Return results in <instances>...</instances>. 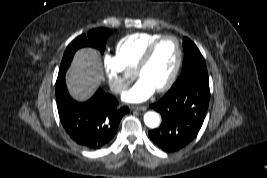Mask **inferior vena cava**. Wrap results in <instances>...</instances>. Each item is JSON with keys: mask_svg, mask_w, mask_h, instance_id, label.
I'll use <instances>...</instances> for the list:
<instances>
[{"mask_svg": "<svg viewBox=\"0 0 267 178\" xmlns=\"http://www.w3.org/2000/svg\"><path fill=\"white\" fill-rule=\"evenodd\" d=\"M127 88H128L127 85L119 84V85H115L114 86L113 91L116 92V93H121L123 91H126Z\"/></svg>", "mask_w": 267, "mask_h": 178, "instance_id": "602c4592", "label": "inferior vena cava"}]
</instances>
